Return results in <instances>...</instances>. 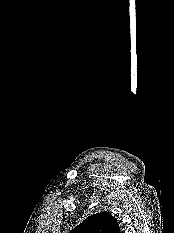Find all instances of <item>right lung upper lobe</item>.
<instances>
[{
	"label": "right lung upper lobe",
	"mask_w": 174,
	"mask_h": 233,
	"mask_svg": "<svg viewBox=\"0 0 174 233\" xmlns=\"http://www.w3.org/2000/svg\"><path fill=\"white\" fill-rule=\"evenodd\" d=\"M69 233H123L117 220L109 212H99L87 217Z\"/></svg>",
	"instance_id": "1"
}]
</instances>
